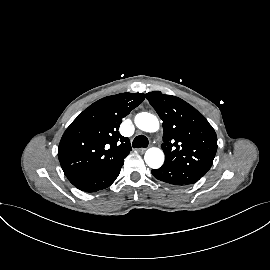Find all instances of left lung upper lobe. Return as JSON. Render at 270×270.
I'll list each match as a JSON object with an SVG mask.
<instances>
[{
    "instance_id": "1",
    "label": "left lung upper lobe",
    "mask_w": 270,
    "mask_h": 270,
    "mask_svg": "<svg viewBox=\"0 0 270 270\" xmlns=\"http://www.w3.org/2000/svg\"><path fill=\"white\" fill-rule=\"evenodd\" d=\"M146 98L163 121L164 164L204 176L217 151V136L212 126L194 107L178 97L153 91L148 92Z\"/></svg>"
}]
</instances>
